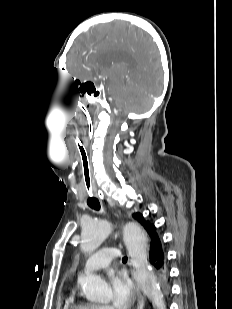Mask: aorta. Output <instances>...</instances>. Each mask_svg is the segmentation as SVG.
<instances>
[{"label": "aorta", "instance_id": "obj_1", "mask_svg": "<svg viewBox=\"0 0 232 309\" xmlns=\"http://www.w3.org/2000/svg\"><path fill=\"white\" fill-rule=\"evenodd\" d=\"M111 226L109 221L101 219H91L84 223L81 250L85 253L97 250L108 237ZM123 238L134 269V279L156 309H165L164 295L149 266L145 232L137 224L127 223L123 229ZM78 283L89 300L105 302L111 297L108 284L99 276L81 274Z\"/></svg>", "mask_w": 232, "mask_h": 309}]
</instances>
